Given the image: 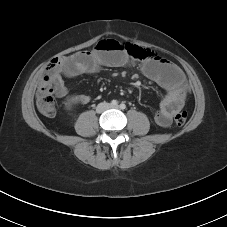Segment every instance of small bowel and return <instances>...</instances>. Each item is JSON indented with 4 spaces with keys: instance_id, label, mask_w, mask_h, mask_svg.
Returning a JSON list of instances; mask_svg holds the SVG:
<instances>
[{
    "instance_id": "obj_1",
    "label": "small bowel",
    "mask_w": 227,
    "mask_h": 227,
    "mask_svg": "<svg viewBox=\"0 0 227 227\" xmlns=\"http://www.w3.org/2000/svg\"><path fill=\"white\" fill-rule=\"evenodd\" d=\"M132 59L133 57L122 43L113 39L102 40L91 50L80 51L68 57H63L60 64L51 72L50 82L58 97L87 104L91 101V97L85 94L70 95L63 78L94 74L102 67H121ZM141 69L148 79L154 81L166 91V95L154 115V121L160 127H168L173 116L185 104L184 74L175 64L156 55L145 60Z\"/></svg>"
}]
</instances>
